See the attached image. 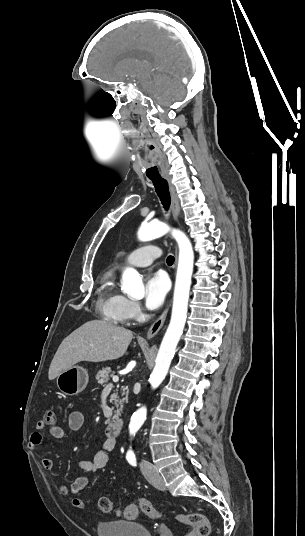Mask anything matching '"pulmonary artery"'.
I'll list each match as a JSON object with an SVG mask.
<instances>
[{"label":"pulmonary artery","mask_w":305,"mask_h":536,"mask_svg":"<svg viewBox=\"0 0 305 536\" xmlns=\"http://www.w3.org/2000/svg\"><path fill=\"white\" fill-rule=\"evenodd\" d=\"M159 257V248L156 242L142 246L130 252L124 259L123 265L144 267L151 265Z\"/></svg>","instance_id":"e3ab8cb5"}]
</instances>
